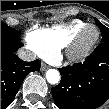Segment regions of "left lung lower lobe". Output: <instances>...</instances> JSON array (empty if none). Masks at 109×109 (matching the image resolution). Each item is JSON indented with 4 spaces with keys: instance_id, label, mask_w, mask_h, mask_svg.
Returning <instances> with one entry per match:
<instances>
[{
    "instance_id": "1",
    "label": "left lung lower lobe",
    "mask_w": 109,
    "mask_h": 109,
    "mask_svg": "<svg viewBox=\"0 0 109 109\" xmlns=\"http://www.w3.org/2000/svg\"><path fill=\"white\" fill-rule=\"evenodd\" d=\"M52 88L59 109H96L109 98V42H103L83 64L59 69Z\"/></svg>"
}]
</instances>
